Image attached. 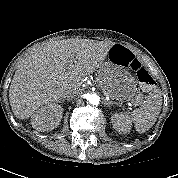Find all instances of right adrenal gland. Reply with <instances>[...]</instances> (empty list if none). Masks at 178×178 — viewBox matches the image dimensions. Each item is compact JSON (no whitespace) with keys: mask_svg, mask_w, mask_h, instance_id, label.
Wrapping results in <instances>:
<instances>
[{"mask_svg":"<svg viewBox=\"0 0 178 178\" xmlns=\"http://www.w3.org/2000/svg\"><path fill=\"white\" fill-rule=\"evenodd\" d=\"M65 100L66 101H70L71 99L70 98H66V99H63L62 102H64Z\"/></svg>","mask_w":178,"mask_h":178,"instance_id":"2a0ac1e0","label":"right adrenal gland"}]
</instances>
